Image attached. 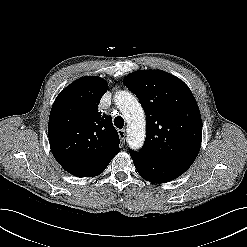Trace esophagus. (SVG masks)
Segmentation results:
<instances>
[{"label": "esophagus", "mask_w": 247, "mask_h": 247, "mask_svg": "<svg viewBox=\"0 0 247 247\" xmlns=\"http://www.w3.org/2000/svg\"><path fill=\"white\" fill-rule=\"evenodd\" d=\"M118 135L120 137L121 142L125 143V136H126L125 130L124 129L118 130Z\"/></svg>", "instance_id": "1"}]
</instances>
